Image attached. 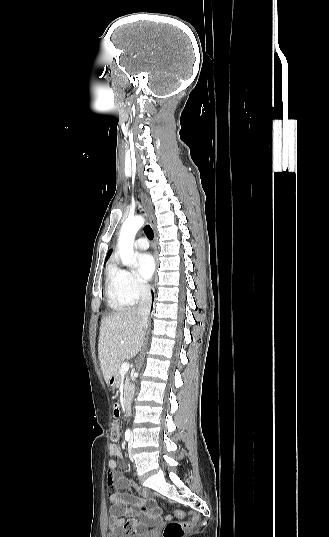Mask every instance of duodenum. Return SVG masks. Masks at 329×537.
Returning <instances> with one entry per match:
<instances>
[{
  "instance_id": "410a0bca",
  "label": "duodenum",
  "mask_w": 329,
  "mask_h": 537,
  "mask_svg": "<svg viewBox=\"0 0 329 537\" xmlns=\"http://www.w3.org/2000/svg\"><path fill=\"white\" fill-rule=\"evenodd\" d=\"M114 383H115L114 380H111V381H110V385H111V386H114ZM123 407H124V409H125L126 412L129 411V404H128L126 401L124 402Z\"/></svg>"
}]
</instances>
